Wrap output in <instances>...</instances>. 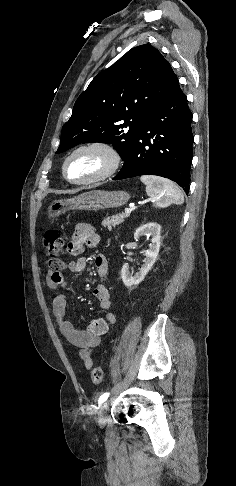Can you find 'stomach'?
Wrapping results in <instances>:
<instances>
[{
    "label": "stomach",
    "mask_w": 236,
    "mask_h": 486,
    "mask_svg": "<svg viewBox=\"0 0 236 486\" xmlns=\"http://www.w3.org/2000/svg\"><path fill=\"white\" fill-rule=\"evenodd\" d=\"M130 195L125 191L92 190L68 200H55L47 208L48 218L54 220L69 210L98 211L125 205Z\"/></svg>",
    "instance_id": "0dacf381"
}]
</instances>
